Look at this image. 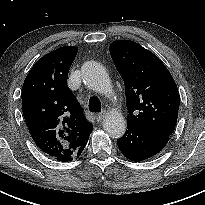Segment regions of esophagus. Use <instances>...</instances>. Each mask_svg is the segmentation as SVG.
Returning a JSON list of instances; mask_svg holds the SVG:
<instances>
[{"instance_id":"obj_1","label":"esophagus","mask_w":205,"mask_h":205,"mask_svg":"<svg viewBox=\"0 0 205 205\" xmlns=\"http://www.w3.org/2000/svg\"><path fill=\"white\" fill-rule=\"evenodd\" d=\"M105 115H106V111H102L100 113H97L96 118L98 121H101L104 119Z\"/></svg>"}]
</instances>
